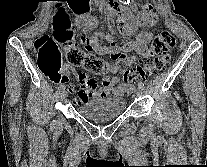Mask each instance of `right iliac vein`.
<instances>
[{
    "mask_svg": "<svg viewBox=\"0 0 207 167\" xmlns=\"http://www.w3.org/2000/svg\"><path fill=\"white\" fill-rule=\"evenodd\" d=\"M66 97H67V92L66 91L61 92V94H60L61 101H64L66 99Z\"/></svg>",
    "mask_w": 207,
    "mask_h": 167,
    "instance_id": "right-iliac-vein-1",
    "label": "right iliac vein"
}]
</instances>
